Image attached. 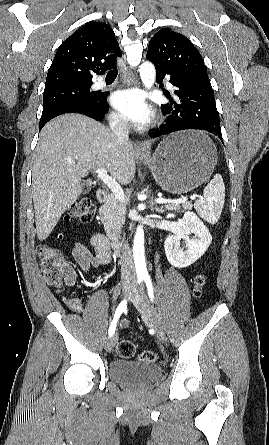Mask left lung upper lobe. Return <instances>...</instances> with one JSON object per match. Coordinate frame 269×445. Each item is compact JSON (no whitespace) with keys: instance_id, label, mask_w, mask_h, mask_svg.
<instances>
[{"instance_id":"5c2ea615","label":"left lung upper lobe","mask_w":269,"mask_h":445,"mask_svg":"<svg viewBox=\"0 0 269 445\" xmlns=\"http://www.w3.org/2000/svg\"><path fill=\"white\" fill-rule=\"evenodd\" d=\"M147 58L156 68L168 72L207 75L199 51L187 37L169 28L159 30L149 41Z\"/></svg>"}]
</instances>
